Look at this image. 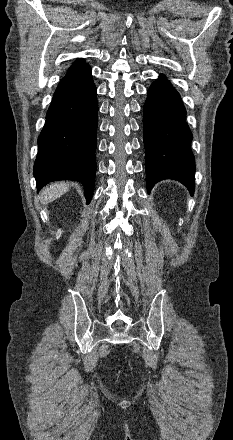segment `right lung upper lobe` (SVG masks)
<instances>
[{
	"label": "right lung upper lobe",
	"mask_w": 233,
	"mask_h": 440,
	"mask_svg": "<svg viewBox=\"0 0 233 440\" xmlns=\"http://www.w3.org/2000/svg\"><path fill=\"white\" fill-rule=\"evenodd\" d=\"M87 66H89V65L86 64L83 60H81V61L78 60V61H76L74 64L71 65V67L69 68L67 74H68V73L75 72V71H78V70H80V69H82V68H85V67H87Z\"/></svg>",
	"instance_id": "1"
}]
</instances>
